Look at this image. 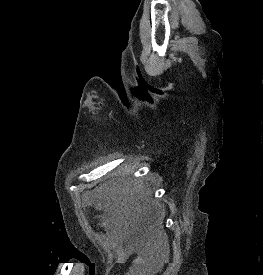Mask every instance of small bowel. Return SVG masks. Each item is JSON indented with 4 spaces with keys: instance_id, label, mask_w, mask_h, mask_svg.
<instances>
[{
    "instance_id": "c3829d8e",
    "label": "small bowel",
    "mask_w": 263,
    "mask_h": 275,
    "mask_svg": "<svg viewBox=\"0 0 263 275\" xmlns=\"http://www.w3.org/2000/svg\"><path fill=\"white\" fill-rule=\"evenodd\" d=\"M101 225L105 228L111 229L112 234L115 236L122 233L121 231L117 230V228H115L112 221L109 219L103 220ZM115 252L116 261L118 263H125L132 253H137V256L133 260L129 270L122 273L121 275H147L149 271L154 269V267L149 264L142 252H140L138 245L134 244L133 242L126 241L124 245L118 246Z\"/></svg>"
}]
</instances>
